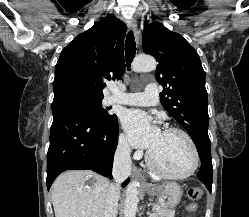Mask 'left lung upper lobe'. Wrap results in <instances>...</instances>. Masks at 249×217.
I'll list each match as a JSON object with an SVG mask.
<instances>
[{"label":"left lung upper lobe","mask_w":249,"mask_h":217,"mask_svg":"<svg viewBox=\"0 0 249 217\" xmlns=\"http://www.w3.org/2000/svg\"><path fill=\"white\" fill-rule=\"evenodd\" d=\"M143 50L159 63L155 75L163 86L162 106L189 133L201 159L211 158L205 72L197 51L159 22L145 27Z\"/></svg>","instance_id":"left-lung-upper-lobe-1"}]
</instances>
